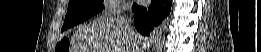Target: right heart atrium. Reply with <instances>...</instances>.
I'll use <instances>...</instances> for the list:
<instances>
[{
  "label": "right heart atrium",
  "instance_id": "d8ad5b80",
  "mask_svg": "<svg viewBox=\"0 0 261 52\" xmlns=\"http://www.w3.org/2000/svg\"><path fill=\"white\" fill-rule=\"evenodd\" d=\"M124 0H106L104 2L105 13L107 15H116L126 8Z\"/></svg>",
  "mask_w": 261,
  "mask_h": 52
}]
</instances>
